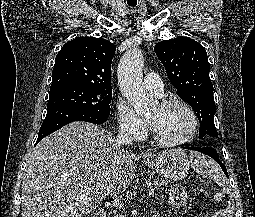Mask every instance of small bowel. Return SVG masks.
<instances>
[{"label":"small bowel","mask_w":255,"mask_h":217,"mask_svg":"<svg viewBox=\"0 0 255 217\" xmlns=\"http://www.w3.org/2000/svg\"><path fill=\"white\" fill-rule=\"evenodd\" d=\"M222 216H223V214H221V213L217 215V217H222ZM154 217H159V216L157 215V216H154Z\"/></svg>","instance_id":"c3829d8e"}]
</instances>
